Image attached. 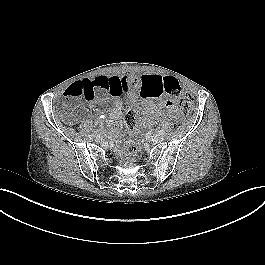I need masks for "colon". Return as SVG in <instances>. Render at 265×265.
Listing matches in <instances>:
<instances>
[{"instance_id": "5ec220e1", "label": "colon", "mask_w": 265, "mask_h": 265, "mask_svg": "<svg viewBox=\"0 0 265 265\" xmlns=\"http://www.w3.org/2000/svg\"><path fill=\"white\" fill-rule=\"evenodd\" d=\"M106 83L105 81L92 82L89 80H80L69 86L65 92L67 98H85L90 100L94 97L97 91H105ZM160 95H166L172 100H175L185 114L189 113L192 108V98L189 94L184 93L182 87L173 76H165L162 81L158 84V87L153 92L152 97H157ZM138 112L137 107L131 108L125 116V123L129 129L131 136L128 142V152L130 155L134 156L138 147L136 144V113Z\"/></svg>"}]
</instances>
